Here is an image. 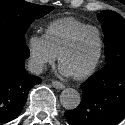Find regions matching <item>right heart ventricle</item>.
Listing matches in <instances>:
<instances>
[{"label":"right heart ventricle","instance_id":"right-heart-ventricle-1","mask_svg":"<svg viewBox=\"0 0 125 125\" xmlns=\"http://www.w3.org/2000/svg\"><path fill=\"white\" fill-rule=\"evenodd\" d=\"M87 25L74 17L59 18L47 25L44 36L50 49L58 55L61 47L70 36Z\"/></svg>","mask_w":125,"mask_h":125}]
</instances>
